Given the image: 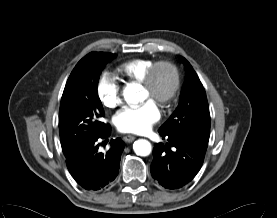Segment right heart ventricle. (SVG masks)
Instances as JSON below:
<instances>
[{"mask_svg": "<svg viewBox=\"0 0 277 218\" xmlns=\"http://www.w3.org/2000/svg\"><path fill=\"white\" fill-rule=\"evenodd\" d=\"M148 65V60H134L127 63L124 70L133 78L141 80L148 69Z\"/></svg>", "mask_w": 277, "mask_h": 218, "instance_id": "right-heart-ventricle-1", "label": "right heart ventricle"}]
</instances>
